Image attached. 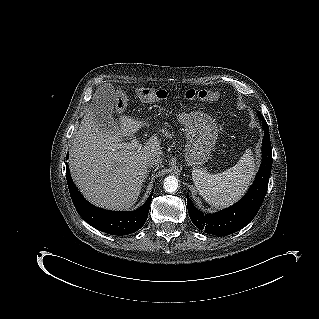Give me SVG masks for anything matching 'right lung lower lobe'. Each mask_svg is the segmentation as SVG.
<instances>
[{"label":"right lung lower lobe","instance_id":"98d812e1","mask_svg":"<svg viewBox=\"0 0 319 319\" xmlns=\"http://www.w3.org/2000/svg\"><path fill=\"white\" fill-rule=\"evenodd\" d=\"M68 156H66V160ZM66 176L74 206L79 215L94 228L112 235H127L139 230L146 222L152 194L142 207L135 211H109L90 204L80 194L70 176L66 163Z\"/></svg>","mask_w":319,"mask_h":319}]
</instances>
